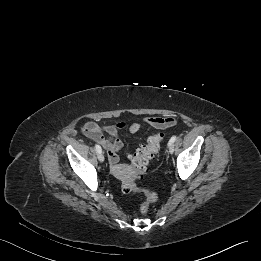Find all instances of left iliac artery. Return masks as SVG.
I'll list each match as a JSON object with an SVG mask.
<instances>
[{
  "label": "left iliac artery",
  "mask_w": 261,
  "mask_h": 261,
  "mask_svg": "<svg viewBox=\"0 0 261 261\" xmlns=\"http://www.w3.org/2000/svg\"><path fill=\"white\" fill-rule=\"evenodd\" d=\"M176 141V136H172L171 139L169 140L168 145L173 144Z\"/></svg>",
  "instance_id": "obj_1"
}]
</instances>
